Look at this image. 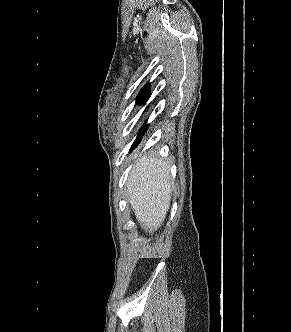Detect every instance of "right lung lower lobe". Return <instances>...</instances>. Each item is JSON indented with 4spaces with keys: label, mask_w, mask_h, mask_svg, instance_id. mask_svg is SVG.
I'll list each match as a JSON object with an SVG mask.
<instances>
[{
    "label": "right lung lower lobe",
    "mask_w": 291,
    "mask_h": 332,
    "mask_svg": "<svg viewBox=\"0 0 291 332\" xmlns=\"http://www.w3.org/2000/svg\"><path fill=\"white\" fill-rule=\"evenodd\" d=\"M147 100H148V98L146 99V101H147ZM146 101H145V102H146ZM145 102H144V103H145ZM147 128H148V125L144 124L143 127L140 129V131H139V133H138V136H137L136 140L134 141V143H133V145H132V147H131V150H132L133 148H135V147L137 146L138 143H140V140L142 139V137H143L144 133L146 132Z\"/></svg>",
    "instance_id": "obj_1"
}]
</instances>
